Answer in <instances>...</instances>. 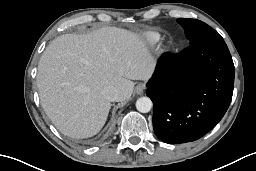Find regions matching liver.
<instances>
[{"instance_id":"obj_1","label":"liver","mask_w":256,"mask_h":171,"mask_svg":"<svg viewBox=\"0 0 256 171\" xmlns=\"http://www.w3.org/2000/svg\"><path fill=\"white\" fill-rule=\"evenodd\" d=\"M154 64L142 37L125 29L61 35L38 63L41 105L64 135L92 137L104 126L111 107L102 90L113 86L119 92L117 101H124L133 92L132 80L149 79Z\"/></svg>"}]
</instances>
